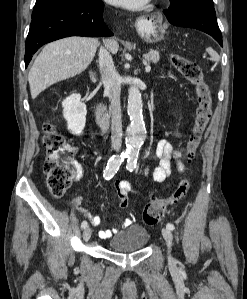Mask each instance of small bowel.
<instances>
[{"mask_svg":"<svg viewBox=\"0 0 247 299\" xmlns=\"http://www.w3.org/2000/svg\"><path fill=\"white\" fill-rule=\"evenodd\" d=\"M156 156L159 159V164L155 167L152 178L155 182H163L169 179L172 175V166L174 165L178 173L184 171V165L180 160V151L172 146L171 143L162 139L157 143ZM116 188L118 191L119 204L122 208H125L128 204L129 195L133 192L131 183L127 180H120L116 182ZM81 197H76L74 205L80 213H82L92 225H99L101 219L99 216L91 215L84 208L80 207ZM133 223L132 217L123 219L112 230H101L99 232L100 237L109 238L113 233H116L121 228Z\"/></svg>","mask_w":247,"mask_h":299,"instance_id":"c3829d8e","label":"small bowel"}]
</instances>
